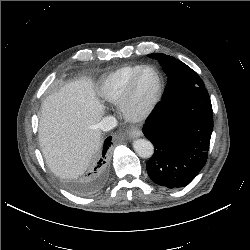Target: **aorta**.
Masks as SVG:
<instances>
[{
    "instance_id": "aorta-1",
    "label": "aorta",
    "mask_w": 250,
    "mask_h": 250,
    "mask_svg": "<svg viewBox=\"0 0 250 250\" xmlns=\"http://www.w3.org/2000/svg\"><path fill=\"white\" fill-rule=\"evenodd\" d=\"M134 151L141 158H150L154 153L153 144L146 139H136L133 142Z\"/></svg>"
}]
</instances>
